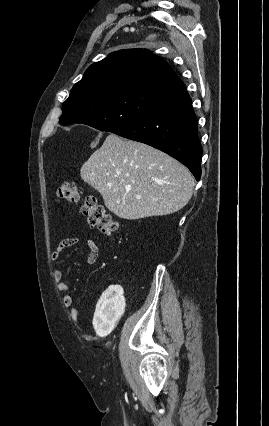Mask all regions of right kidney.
Masks as SVG:
<instances>
[{
    "instance_id": "right-kidney-1",
    "label": "right kidney",
    "mask_w": 269,
    "mask_h": 426,
    "mask_svg": "<svg viewBox=\"0 0 269 426\" xmlns=\"http://www.w3.org/2000/svg\"><path fill=\"white\" fill-rule=\"evenodd\" d=\"M125 299L123 289L113 283L101 296L96 305L93 318V327L98 336L108 335L115 327L116 322L123 314Z\"/></svg>"
}]
</instances>
